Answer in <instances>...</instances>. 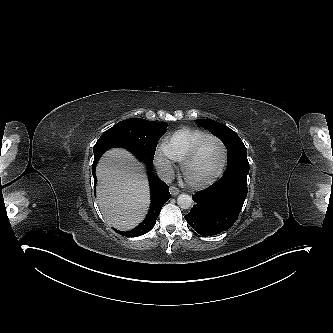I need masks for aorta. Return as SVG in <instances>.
Instances as JSON below:
<instances>
[{
  "instance_id": "obj_1",
  "label": "aorta",
  "mask_w": 333,
  "mask_h": 333,
  "mask_svg": "<svg viewBox=\"0 0 333 333\" xmlns=\"http://www.w3.org/2000/svg\"><path fill=\"white\" fill-rule=\"evenodd\" d=\"M192 197L188 194H180L177 198V204L182 209H189L192 205Z\"/></svg>"
}]
</instances>
